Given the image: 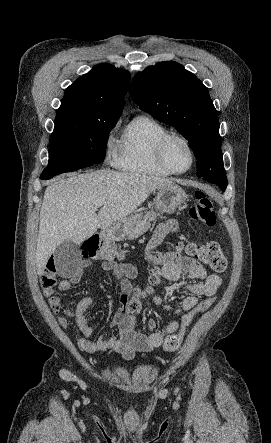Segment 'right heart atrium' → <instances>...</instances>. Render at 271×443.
<instances>
[{
	"instance_id": "1",
	"label": "right heart atrium",
	"mask_w": 271,
	"mask_h": 443,
	"mask_svg": "<svg viewBox=\"0 0 271 443\" xmlns=\"http://www.w3.org/2000/svg\"><path fill=\"white\" fill-rule=\"evenodd\" d=\"M120 124L121 118L116 119L104 140L105 156L110 162H114L120 150V145L116 138V131L118 130Z\"/></svg>"
}]
</instances>
